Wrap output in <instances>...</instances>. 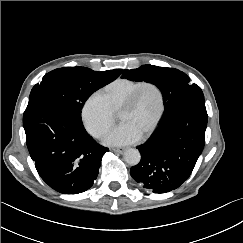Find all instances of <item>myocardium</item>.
<instances>
[{"mask_svg":"<svg viewBox=\"0 0 243 243\" xmlns=\"http://www.w3.org/2000/svg\"><path fill=\"white\" fill-rule=\"evenodd\" d=\"M146 86H153L157 90L159 97H160V109H159L158 115H157L154 123L151 125V127L144 134H142V137L150 136L157 129V127L159 126V124H160V122H161V120L164 116L165 109H166V97H165V93H164L162 87L154 81H143V82H141L132 91L130 96L122 104V106L119 110V114H120L122 112H126V111L133 109L134 106L136 105L137 98H138L140 91Z\"/></svg>","mask_w":243,"mask_h":243,"instance_id":"obj_1","label":"myocardium"}]
</instances>
